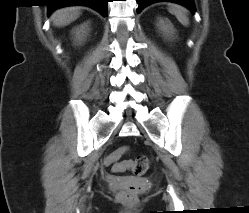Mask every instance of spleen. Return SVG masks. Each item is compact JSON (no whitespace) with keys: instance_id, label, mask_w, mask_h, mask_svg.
Here are the masks:
<instances>
[{"instance_id":"3e777b00","label":"spleen","mask_w":249,"mask_h":213,"mask_svg":"<svg viewBox=\"0 0 249 213\" xmlns=\"http://www.w3.org/2000/svg\"><path fill=\"white\" fill-rule=\"evenodd\" d=\"M169 12L173 15L176 16V18L178 19V21L184 25V26H187L189 25V19L186 15V10L184 7L182 6H179V5H172L170 8H169Z\"/></svg>"}]
</instances>
